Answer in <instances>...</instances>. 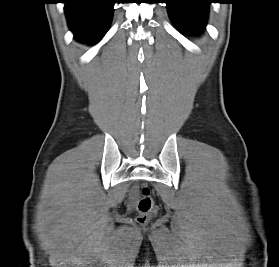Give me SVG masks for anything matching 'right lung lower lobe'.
I'll return each instance as SVG.
<instances>
[{
  "mask_svg": "<svg viewBox=\"0 0 279 267\" xmlns=\"http://www.w3.org/2000/svg\"><path fill=\"white\" fill-rule=\"evenodd\" d=\"M74 37L89 43L99 41L110 24L115 0H64Z\"/></svg>",
  "mask_w": 279,
  "mask_h": 267,
  "instance_id": "right-lung-lower-lobe-1",
  "label": "right lung lower lobe"
}]
</instances>
